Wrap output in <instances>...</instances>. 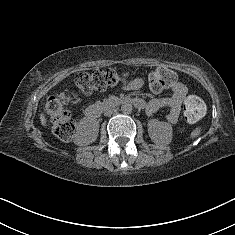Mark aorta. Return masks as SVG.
Segmentation results:
<instances>
[{
    "label": "aorta",
    "mask_w": 235,
    "mask_h": 235,
    "mask_svg": "<svg viewBox=\"0 0 235 235\" xmlns=\"http://www.w3.org/2000/svg\"><path fill=\"white\" fill-rule=\"evenodd\" d=\"M132 110H133V107L129 103H123L122 106H121V111L124 114H130L132 112Z\"/></svg>",
    "instance_id": "1"
}]
</instances>
